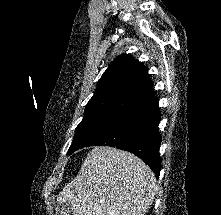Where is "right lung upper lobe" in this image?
Wrapping results in <instances>:
<instances>
[{
    "instance_id": "obj_1",
    "label": "right lung upper lobe",
    "mask_w": 221,
    "mask_h": 215,
    "mask_svg": "<svg viewBox=\"0 0 221 215\" xmlns=\"http://www.w3.org/2000/svg\"><path fill=\"white\" fill-rule=\"evenodd\" d=\"M155 98L147 69L132 56L117 57L101 77L85 113L124 117Z\"/></svg>"
}]
</instances>
